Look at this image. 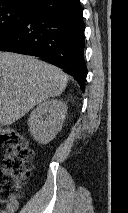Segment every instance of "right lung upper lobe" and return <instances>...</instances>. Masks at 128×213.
<instances>
[{"mask_svg": "<svg viewBox=\"0 0 128 213\" xmlns=\"http://www.w3.org/2000/svg\"><path fill=\"white\" fill-rule=\"evenodd\" d=\"M39 0H0V7L6 5H16L32 8Z\"/></svg>", "mask_w": 128, "mask_h": 213, "instance_id": "right-lung-upper-lobe-1", "label": "right lung upper lobe"}]
</instances>
